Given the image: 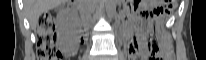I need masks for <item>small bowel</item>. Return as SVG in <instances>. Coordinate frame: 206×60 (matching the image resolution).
I'll list each match as a JSON object with an SVG mask.
<instances>
[{
    "instance_id": "c3829d8e",
    "label": "small bowel",
    "mask_w": 206,
    "mask_h": 60,
    "mask_svg": "<svg viewBox=\"0 0 206 60\" xmlns=\"http://www.w3.org/2000/svg\"><path fill=\"white\" fill-rule=\"evenodd\" d=\"M128 50L131 59H135L136 56L143 55L144 53L141 43L133 37H131L128 41Z\"/></svg>"
}]
</instances>
